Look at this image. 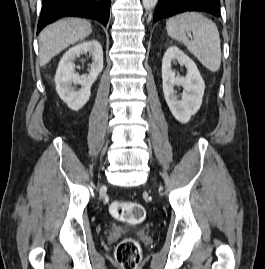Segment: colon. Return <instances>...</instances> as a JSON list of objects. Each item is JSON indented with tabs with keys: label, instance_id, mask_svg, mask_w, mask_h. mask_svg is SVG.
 I'll return each instance as SVG.
<instances>
[{
	"label": "colon",
	"instance_id": "5ec220e1",
	"mask_svg": "<svg viewBox=\"0 0 265 269\" xmlns=\"http://www.w3.org/2000/svg\"><path fill=\"white\" fill-rule=\"evenodd\" d=\"M112 217L129 224L140 223L145 216L144 207L138 202L113 201L109 207ZM117 260L122 269H136L140 259V246L133 238L122 239L116 249Z\"/></svg>",
	"mask_w": 265,
	"mask_h": 269
}]
</instances>
